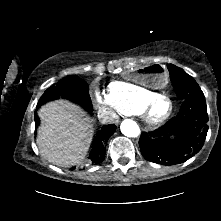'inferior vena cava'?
<instances>
[{"mask_svg": "<svg viewBox=\"0 0 221 221\" xmlns=\"http://www.w3.org/2000/svg\"><path fill=\"white\" fill-rule=\"evenodd\" d=\"M98 119L102 124L113 123L115 119V114L110 110L100 109L98 111Z\"/></svg>", "mask_w": 221, "mask_h": 221, "instance_id": "1", "label": "inferior vena cava"}]
</instances>
